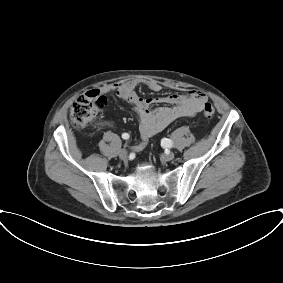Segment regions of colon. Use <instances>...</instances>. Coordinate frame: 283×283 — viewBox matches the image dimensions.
I'll return each instance as SVG.
<instances>
[{"label": "colon", "instance_id": "obj_1", "mask_svg": "<svg viewBox=\"0 0 283 283\" xmlns=\"http://www.w3.org/2000/svg\"><path fill=\"white\" fill-rule=\"evenodd\" d=\"M107 99L96 91H90L79 96L70 109V119L76 128H84L91 123L106 107ZM203 114L211 118L215 114V108L211 103H205Z\"/></svg>", "mask_w": 283, "mask_h": 283}]
</instances>
